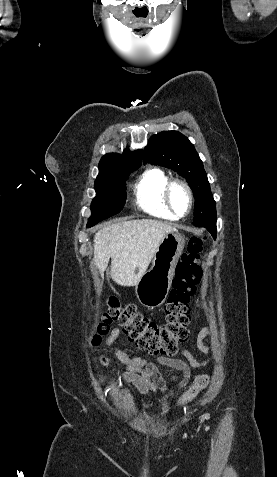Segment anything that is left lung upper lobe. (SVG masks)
I'll return each instance as SVG.
<instances>
[{
  "label": "left lung upper lobe",
  "mask_w": 277,
  "mask_h": 477,
  "mask_svg": "<svg viewBox=\"0 0 277 477\" xmlns=\"http://www.w3.org/2000/svg\"><path fill=\"white\" fill-rule=\"evenodd\" d=\"M144 163L161 165L176 171L191 187L194 198L195 226L216 222V203L203 163L193 144L177 131H164L150 138L144 149Z\"/></svg>",
  "instance_id": "5c2ea615"
}]
</instances>
